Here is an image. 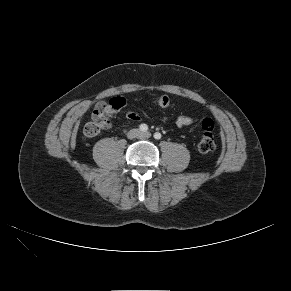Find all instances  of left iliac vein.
<instances>
[{
	"instance_id": "4c4485c4",
	"label": "left iliac vein",
	"mask_w": 291,
	"mask_h": 291,
	"mask_svg": "<svg viewBox=\"0 0 291 291\" xmlns=\"http://www.w3.org/2000/svg\"><path fill=\"white\" fill-rule=\"evenodd\" d=\"M151 137V133L150 132H144V133H140V138H149Z\"/></svg>"
}]
</instances>
